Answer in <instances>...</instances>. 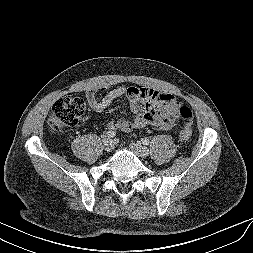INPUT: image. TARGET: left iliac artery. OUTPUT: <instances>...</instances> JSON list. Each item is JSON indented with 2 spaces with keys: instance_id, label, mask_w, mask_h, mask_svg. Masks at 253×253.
Wrapping results in <instances>:
<instances>
[{
  "instance_id": "44dca946",
  "label": "left iliac artery",
  "mask_w": 253,
  "mask_h": 253,
  "mask_svg": "<svg viewBox=\"0 0 253 253\" xmlns=\"http://www.w3.org/2000/svg\"><path fill=\"white\" fill-rule=\"evenodd\" d=\"M141 141L144 145H149V139L148 138H142Z\"/></svg>"
}]
</instances>
